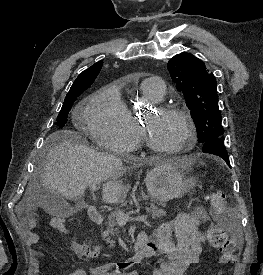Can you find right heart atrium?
<instances>
[{
	"label": "right heart atrium",
	"instance_id": "obj_1",
	"mask_svg": "<svg viewBox=\"0 0 263 275\" xmlns=\"http://www.w3.org/2000/svg\"><path fill=\"white\" fill-rule=\"evenodd\" d=\"M85 123L90 136L110 151L123 153L136 144V130L114 87L103 88L91 98L85 111Z\"/></svg>",
	"mask_w": 263,
	"mask_h": 275
}]
</instances>
